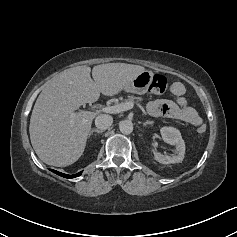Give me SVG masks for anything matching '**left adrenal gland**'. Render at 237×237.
Here are the masks:
<instances>
[{"mask_svg":"<svg viewBox=\"0 0 237 237\" xmlns=\"http://www.w3.org/2000/svg\"><path fill=\"white\" fill-rule=\"evenodd\" d=\"M148 124H152V122L151 121H147V122L143 123V126L146 127Z\"/></svg>","mask_w":237,"mask_h":237,"instance_id":"a2214340","label":"left adrenal gland"}]
</instances>
